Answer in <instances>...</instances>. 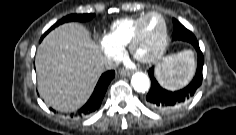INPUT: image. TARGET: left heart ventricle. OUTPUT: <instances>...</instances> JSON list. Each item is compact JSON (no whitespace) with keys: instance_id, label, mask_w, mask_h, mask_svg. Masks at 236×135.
I'll return each mask as SVG.
<instances>
[{"instance_id":"b2bd125f","label":"left heart ventricle","mask_w":236,"mask_h":135,"mask_svg":"<svg viewBox=\"0 0 236 135\" xmlns=\"http://www.w3.org/2000/svg\"><path fill=\"white\" fill-rule=\"evenodd\" d=\"M163 35V25L159 18L150 17L143 28L141 41L137 46L140 56L150 55L158 46Z\"/></svg>"}]
</instances>
